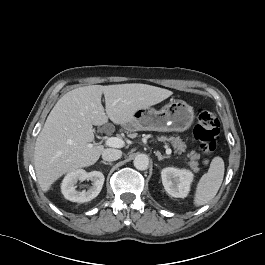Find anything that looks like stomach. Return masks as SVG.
Masks as SVG:
<instances>
[{
  "label": "stomach",
  "instance_id": "stomach-1",
  "mask_svg": "<svg viewBox=\"0 0 265 265\" xmlns=\"http://www.w3.org/2000/svg\"><path fill=\"white\" fill-rule=\"evenodd\" d=\"M194 121L193 108L184 101H171L161 110L154 108L139 109L133 121L126 127L129 130H148L159 132H183Z\"/></svg>",
  "mask_w": 265,
  "mask_h": 265
}]
</instances>
